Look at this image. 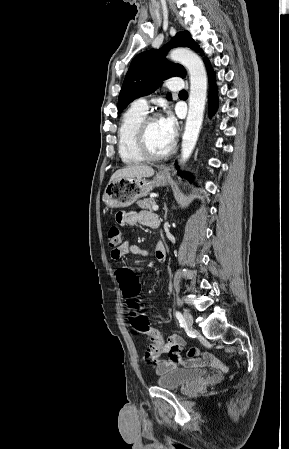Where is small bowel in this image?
<instances>
[{
    "instance_id": "obj_1",
    "label": "small bowel",
    "mask_w": 289,
    "mask_h": 449,
    "mask_svg": "<svg viewBox=\"0 0 289 449\" xmlns=\"http://www.w3.org/2000/svg\"><path fill=\"white\" fill-rule=\"evenodd\" d=\"M117 221L120 225H135L141 224L150 228H156L159 225V219L156 215L143 211V212H120L117 215ZM140 255V256H154L160 261H164L166 258L165 247L162 243H158L154 252H149L146 249L139 247L136 244L131 243L129 240L125 241L117 249L111 251V258L119 260L125 255ZM119 282V280H118ZM120 285V284H119ZM186 346L185 340L177 334L171 335L164 344L165 355L170 357L168 360H160V357L164 354L158 355L155 362V371L157 374H164L173 369H176L179 365L180 368L187 367L188 369H200L215 368L217 371L225 372L227 367L221 363L218 357L214 356L212 351H207L203 354L198 347L187 348L186 354H180L182 349Z\"/></svg>"
}]
</instances>
